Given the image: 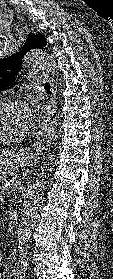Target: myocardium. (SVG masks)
I'll list each match as a JSON object with an SVG mask.
<instances>
[{"instance_id":"obj_1","label":"myocardium","mask_w":113,"mask_h":279,"mask_svg":"<svg viewBox=\"0 0 113 279\" xmlns=\"http://www.w3.org/2000/svg\"><path fill=\"white\" fill-rule=\"evenodd\" d=\"M1 105L22 106L23 102L15 98H0V106ZM27 136H28V131L16 137L0 136V144L18 143L24 140Z\"/></svg>"}]
</instances>
